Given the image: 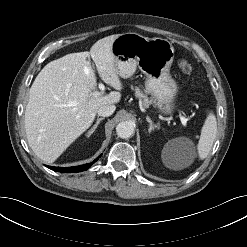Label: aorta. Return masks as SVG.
<instances>
[{
	"mask_svg": "<svg viewBox=\"0 0 247 247\" xmlns=\"http://www.w3.org/2000/svg\"><path fill=\"white\" fill-rule=\"evenodd\" d=\"M116 133L120 138H130L134 134V125L129 121H122L116 126Z\"/></svg>",
	"mask_w": 247,
	"mask_h": 247,
	"instance_id": "aorta-1",
	"label": "aorta"
}]
</instances>
